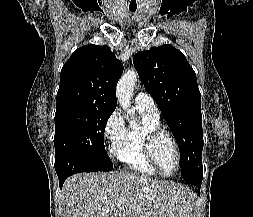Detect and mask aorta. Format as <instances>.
<instances>
[{
	"label": "aorta",
	"mask_w": 253,
	"mask_h": 217,
	"mask_svg": "<svg viewBox=\"0 0 253 217\" xmlns=\"http://www.w3.org/2000/svg\"><path fill=\"white\" fill-rule=\"evenodd\" d=\"M137 80V73L134 69L128 70L119 80L116 88V95L119 104L127 111V114H131L130 105L131 97L133 96V90L135 81Z\"/></svg>",
	"instance_id": "1"
}]
</instances>
